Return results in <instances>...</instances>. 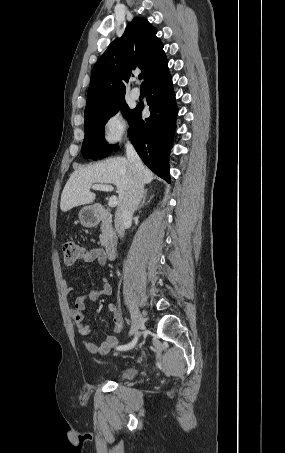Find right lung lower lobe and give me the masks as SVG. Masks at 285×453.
I'll return each instance as SVG.
<instances>
[{"label": "right lung lower lobe", "instance_id": "1", "mask_svg": "<svg viewBox=\"0 0 285 453\" xmlns=\"http://www.w3.org/2000/svg\"><path fill=\"white\" fill-rule=\"evenodd\" d=\"M147 105L151 115L142 119L143 105L130 118L129 137L143 162L159 177L170 183L169 153L172 147L177 107L168 67L146 82ZM115 148L114 151H116Z\"/></svg>", "mask_w": 285, "mask_h": 453}]
</instances>
